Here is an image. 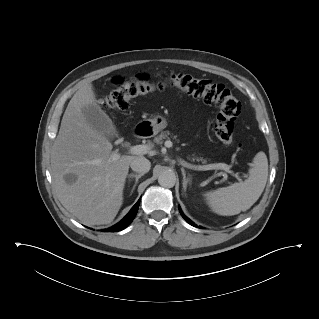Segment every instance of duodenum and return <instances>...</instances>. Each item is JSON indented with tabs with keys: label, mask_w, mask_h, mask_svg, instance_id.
I'll return each instance as SVG.
<instances>
[{
	"label": "duodenum",
	"mask_w": 319,
	"mask_h": 319,
	"mask_svg": "<svg viewBox=\"0 0 319 319\" xmlns=\"http://www.w3.org/2000/svg\"><path fill=\"white\" fill-rule=\"evenodd\" d=\"M147 132H148V127L147 126H146V128L139 126L136 129V135H138V136H142V135L146 134Z\"/></svg>",
	"instance_id": "obj_1"
}]
</instances>
